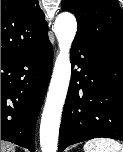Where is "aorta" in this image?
<instances>
[{"instance_id":"obj_1","label":"aorta","mask_w":123,"mask_h":152,"mask_svg":"<svg viewBox=\"0 0 123 152\" xmlns=\"http://www.w3.org/2000/svg\"><path fill=\"white\" fill-rule=\"evenodd\" d=\"M77 31L75 17L61 13L55 20L54 32L59 44V54L47 93L41 118L40 145L42 152H56L60 119L71 78L70 48Z\"/></svg>"}]
</instances>
